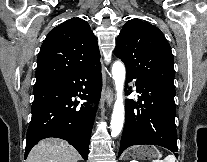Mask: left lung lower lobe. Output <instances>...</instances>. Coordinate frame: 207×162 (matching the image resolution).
<instances>
[{"label": "left lung lower lobe", "instance_id": "obj_1", "mask_svg": "<svg viewBox=\"0 0 207 162\" xmlns=\"http://www.w3.org/2000/svg\"><path fill=\"white\" fill-rule=\"evenodd\" d=\"M136 79L138 102H126V121L121 138L119 156L136 144H153L165 147L178 157L175 127V87L162 83L146 82L127 72V82ZM127 94H130L127 91Z\"/></svg>", "mask_w": 207, "mask_h": 162}]
</instances>
